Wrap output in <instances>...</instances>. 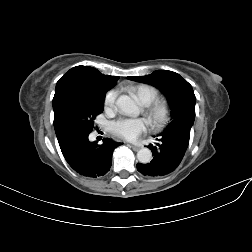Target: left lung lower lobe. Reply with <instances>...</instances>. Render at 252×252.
<instances>
[{
	"label": "left lung lower lobe",
	"instance_id": "obj_1",
	"mask_svg": "<svg viewBox=\"0 0 252 252\" xmlns=\"http://www.w3.org/2000/svg\"><path fill=\"white\" fill-rule=\"evenodd\" d=\"M190 128L178 127L161 133L156 146L148 148L153 153V159L146 164H137V169L145 176L159 177L173 172L181 163L190 140Z\"/></svg>",
	"mask_w": 252,
	"mask_h": 252
}]
</instances>
